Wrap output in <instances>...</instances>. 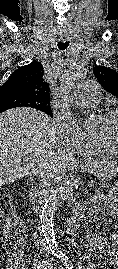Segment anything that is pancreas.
Masks as SVG:
<instances>
[{"instance_id":"cf45deb5","label":"pancreas","mask_w":118,"mask_h":269,"mask_svg":"<svg viewBox=\"0 0 118 269\" xmlns=\"http://www.w3.org/2000/svg\"><path fill=\"white\" fill-rule=\"evenodd\" d=\"M110 181L104 182L103 179H98L94 183V189L98 192H112V187L109 186Z\"/></svg>"}]
</instances>
